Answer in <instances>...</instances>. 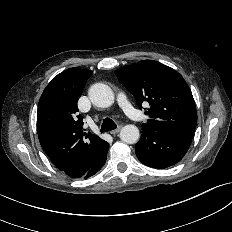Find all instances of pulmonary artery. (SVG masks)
Wrapping results in <instances>:
<instances>
[{
    "label": "pulmonary artery",
    "mask_w": 232,
    "mask_h": 232,
    "mask_svg": "<svg viewBox=\"0 0 232 232\" xmlns=\"http://www.w3.org/2000/svg\"><path fill=\"white\" fill-rule=\"evenodd\" d=\"M117 102L129 118L135 121L141 120L142 115L131 105L124 93H119L117 95Z\"/></svg>",
    "instance_id": "1"
}]
</instances>
